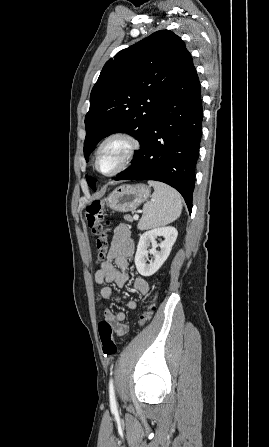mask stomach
Here are the masks:
<instances>
[{"mask_svg": "<svg viewBox=\"0 0 269 447\" xmlns=\"http://www.w3.org/2000/svg\"><path fill=\"white\" fill-rule=\"evenodd\" d=\"M150 196V188L144 184L120 186L106 198V206L115 212H133Z\"/></svg>", "mask_w": 269, "mask_h": 447, "instance_id": "1", "label": "stomach"}]
</instances>
